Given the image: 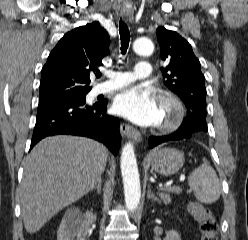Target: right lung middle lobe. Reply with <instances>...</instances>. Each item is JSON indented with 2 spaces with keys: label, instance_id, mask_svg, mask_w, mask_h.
<instances>
[{
  "label": "right lung middle lobe",
  "instance_id": "1",
  "mask_svg": "<svg viewBox=\"0 0 248 240\" xmlns=\"http://www.w3.org/2000/svg\"><path fill=\"white\" fill-rule=\"evenodd\" d=\"M87 93H82L78 95H71V96H66L63 98H69V99H75V100H80V101H85V96Z\"/></svg>",
  "mask_w": 248,
  "mask_h": 240
}]
</instances>
